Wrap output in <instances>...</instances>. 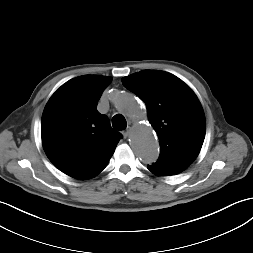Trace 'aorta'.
I'll return each mask as SVG.
<instances>
[{
  "label": "aorta",
  "instance_id": "1",
  "mask_svg": "<svg viewBox=\"0 0 253 253\" xmlns=\"http://www.w3.org/2000/svg\"><path fill=\"white\" fill-rule=\"evenodd\" d=\"M115 108L131 118H137L140 115V109L136 99L125 92H117L113 96ZM131 145L135 154L144 163L154 162L159 155V144L153 129L146 123H137L134 125L131 136Z\"/></svg>",
  "mask_w": 253,
  "mask_h": 253
}]
</instances>
